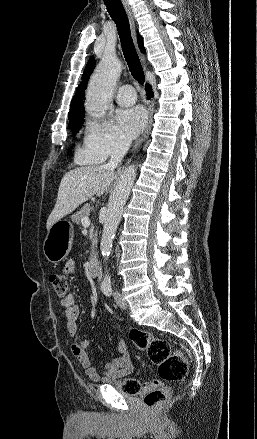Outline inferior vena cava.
<instances>
[{
	"label": "inferior vena cava",
	"mask_w": 257,
	"mask_h": 439,
	"mask_svg": "<svg viewBox=\"0 0 257 439\" xmlns=\"http://www.w3.org/2000/svg\"><path fill=\"white\" fill-rule=\"evenodd\" d=\"M131 145V140L120 137L113 145L109 162L105 165L107 169H114L123 159Z\"/></svg>",
	"instance_id": "inferior-vena-cava-1"
}]
</instances>
